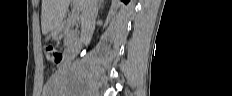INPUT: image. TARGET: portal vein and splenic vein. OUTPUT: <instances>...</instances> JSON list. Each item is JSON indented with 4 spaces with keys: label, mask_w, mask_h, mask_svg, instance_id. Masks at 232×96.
I'll list each match as a JSON object with an SVG mask.
<instances>
[{
    "label": "portal vein and splenic vein",
    "mask_w": 232,
    "mask_h": 96,
    "mask_svg": "<svg viewBox=\"0 0 232 96\" xmlns=\"http://www.w3.org/2000/svg\"><path fill=\"white\" fill-rule=\"evenodd\" d=\"M75 7L78 5V0H73Z\"/></svg>",
    "instance_id": "1"
}]
</instances>
